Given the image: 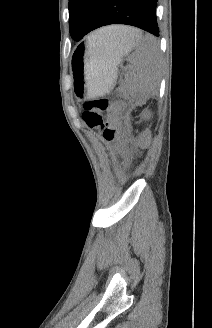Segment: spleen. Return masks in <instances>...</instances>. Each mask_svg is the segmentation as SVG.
Segmentation results:
<instances>
[{
  "instance_id": "3e777b00",
  "label": "spleen",
  "mask_w": 212,
  "mask_h": 328,
  "mask_svg": "<svg viewBox=\"0 0 212 328\" xmlns=\"http://www.w3.org/2000/svg\"><path fill=\"white\" fill-rule=\"evenodd\" d=\"M105 28L98 30L88 37L91 48L107 49L103 35ZM136 50L129 57L130 71L125 79L128 86L138 94L150 95L160 82L161 56L156 39L151 35L143 36L141 32L136 35Z\"/></svg>"
}]
</instances>
